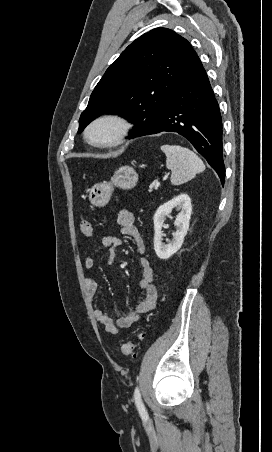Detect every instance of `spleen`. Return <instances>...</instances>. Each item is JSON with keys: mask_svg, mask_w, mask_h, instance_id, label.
Masks as SVG:
<instances>
[{"mask_svg": "<svg viewBox=\"0 0 272 452\" xmlns=\"http://www.w3.org/2000/svg\"><path fill=\"white\" fill-rule=\"evenodd\" d=\"M166 166L171 170V183L181 185L205 170L203 161L193 151L176 145H162Z\"/></svg>", "mask_w": 272, "mask_h": 452, "instance_id": "1", "label": "spleen"}]
</instances>
